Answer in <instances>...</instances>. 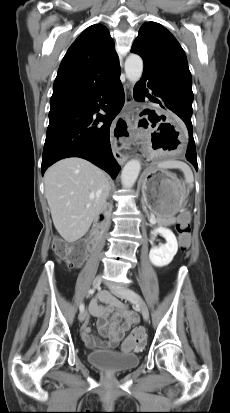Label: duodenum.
I'll list each match as a JSON object with an SVG mask.
<instances>
[{
	"instance_id": "duodenum-1",
	"label": "duodenum",
	"mask_w": 230,
	"mask_h": 413,
	"mask_svg": "<svg viewBox=\"0 0 230 413\" xmlns=\"http://www.w3.org/2000/svg\"><path fill=\"white\" fill-rule=\"evenodd\" d=\"M106 219H107L106 215L104 213H100L96 221L97 227L98 228L101 227V225L106 221Z\"/></svg>"
}]
</instances>
